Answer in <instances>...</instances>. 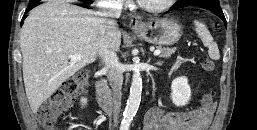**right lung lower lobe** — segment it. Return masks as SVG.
<instances>
[{
    "label": "right lung lower lobe",
    "mask_w": 257,
    "mask_h": 130,
    "mask_svg": "<svg viewBox=\"0 0 257 130\" xmlns=\"http://www.w3.org/2000/svg\"><path fill=\"white\" fill-rule=\"evenodd\" d=\"M37 5H38V1L31 0L30 3H29V6L27 7V9L25 11V14L28 13L31 9H33ZM25 14H24V16L22 18V21L25 19Z\"/></svg>",
    "instance_id": "right-lung-lower-lobe-1"
}]
</instances>
